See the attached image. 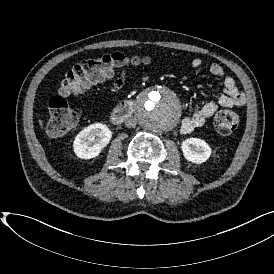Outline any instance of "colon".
I'll return each instance as SVG.
<instances>
[{"instance_id":"1","label":"colon","mask_w":274,"mask_h":274,"mask_svg":"<svg viewBox=\"0 0 274 274\" xmlns=\"http://www.w3.org/2000/svg\"><path fill=\"white\" fill-rule=\"evenodd\" d=\"M142 62L144 59L141 57L113 52L87 58L74 65L64 75L58 93L51 96L48 101L50 112L47 125L48 136L60 137L77 124L78 112L69 106L67 97L81 95L98 83L124 75L123 67ZM238 123V114L231 110L221 109L213 118L214 129L220 135H230L237 129Z\"/></svg>"}]
</instances>
